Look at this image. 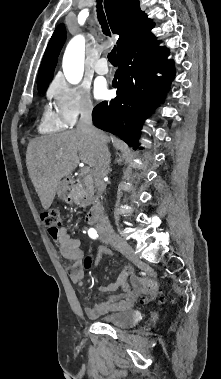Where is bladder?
Listing matches in <instances>:
<instances>
[{
	"instance_id": "1",
	"label": "bladder",
	"mask_w": 221,
	"mask_h": 379,
	"mask_svg": "<svg viewBox=\"0 0 221 379\" xmlns=\"http://www.w3.org/2000/svg\"><path fill=\"white\" fill-rule=\"evenodd\" d=\"M141 318L136 310H124L109 312L101 315L98 320L101 323L108 324L119 328H129L135 326Z\"/></svg>"
}]
</instances>
